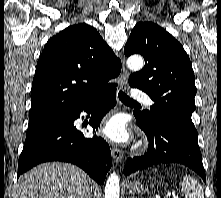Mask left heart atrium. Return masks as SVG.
<instances>
[{
	"label": "left heart atrium",
	"mask_w": 221,
	"mask_h": 198,
	"mask_svg": "<svg viewBox=\"0 0 221 198\" xmlns=\"http://www.w3.org/2000/svg\"><path fill=\"white\" fill-rule=\"evenodd\" d=\"M102 134L109 140L121 143L128 139L124 121L119 117H114L109 120L102 129Z\"/></svg>",
	"instance_id": "obj_1"
}]
</instances>
